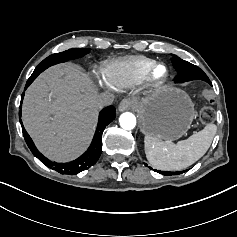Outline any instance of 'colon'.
Returning <instances> with one entry per match:
<instances>
[{"label": "colon", "instance_id": "1", "mask_svg": "<svg viewBox=\"0 0 237 237\" xmlns=\"http://www.w3.org/2000/svg\"><path fill=\"white\" fill-rule=\"evenodd\" d=\"M202 96L208 100L213 101L214 94L211 90H204ZM200 121L204 124L212 123L215 119V110L211 106H204L199 112Z\"/></svg>", "mask_w": 237, "mask_h": 237}]
</instances>
